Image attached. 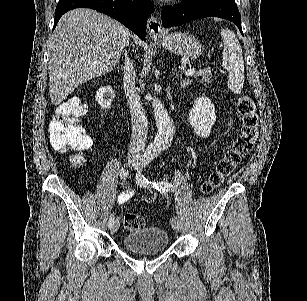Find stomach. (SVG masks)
Instances as JSON below:
<instances>
[{
	"instance_id": "1",
	"label": "stomach",
	"mask_w": 307,
	"mask_h": 301,
	"mask_svg": "<svg viewBox=\"0 0 307 301\" xmlns=\"http://www.w3.org/2000/svg\"><path fill=\"white\" fill-rule=\"evenodd\" d=\"M158 44L163 48H167L170 52L181 54V56H189V58H198L202 52V46L189 32H172V34H160V36H152Z\"/></svg>"
}]
</instances>
